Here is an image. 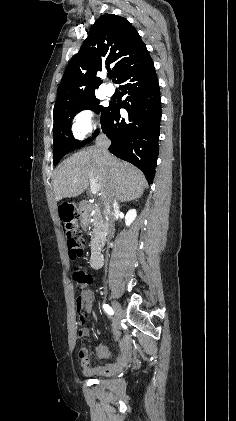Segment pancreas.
<instances>
[{
    "instance_id": "obj_1",
    "label": "pancreas",
    "mask_w": 236,
    "mask_h": 421,
    "mask_svg": "<svg viewBox=\"0 0 236 421\" xmlns=\"http://www.w3.org/2000/svg\"><path fill=\"white\" fill-rule=\"evenodd\" d=\"M89 217H92V235H91V253H96L98 251L99 243H102L107 231L108 225L105 221L104 211H101L99 206H95V204H89V208L87 211Z\"/></svg>"
}]
</instances>
